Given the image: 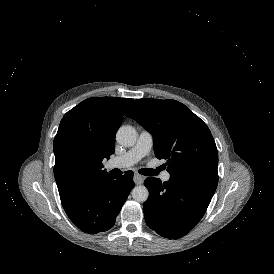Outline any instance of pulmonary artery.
I'll return each instance as SVG.
<instances>
[{"label": "pulmonary artery", "instance_id": "pulmonary-artery-1", "mask_svg": "<svg viewBox=\"0 0 274 274\" xmlns=\"http://www.w3.org/2000/svg\"><path fill=\"white\" fill-rule=\"evenodd\" d=\"M153 146V137L152 135L142 130L139 134L136 144L125 152L123 155L116 157L110 160L106 167L108 169H125L140 161L143 157L147 156ZM170 179V173L165 171L161 175V180L167 182Z\"/></svg>", "mask_w": 274, "mask_h": 274}]
</instances>
